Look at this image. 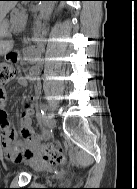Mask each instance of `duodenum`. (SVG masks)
<instances>
[{
  "instance_id": "410a0bca",
  "label": "duodenum",
  "mask_w": 137,
  "mask_h": 189,
  "mask_svg": "<svg viewBox=\"0 0 137 189\" xmlns=\"http://www.w3.org/2000/svg\"><path fill=\"white\" fill-rule=\"evenodd\" d=\"M33 54L36 56L38 54V51L36 49L33 50Z\"/></svg>"
}]
</instances>
